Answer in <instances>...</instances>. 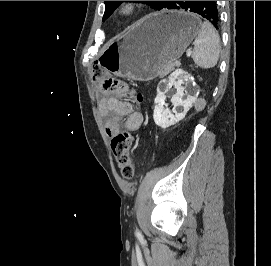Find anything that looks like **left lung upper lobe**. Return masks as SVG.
<instances>
[{
  "mask_svg": "<svg viewBox=\"0 0 271 266\" xmlns=\"http://www.w3.org/2000/svg\"><path fill=\"white\" fill-rule=\"evenodd\" d=\"M122 2L124 1H104L105 13L103 16V20H106ZM138 2H143L149 5L151 8L161 10L163 8H166L171 1H138Z\"/></svg>",
  "mask_w": 271,
  "mask_h": 266,
  "instance_id": "obj_1",
  "label": "left lung upper lobe"
}]
</instances>
